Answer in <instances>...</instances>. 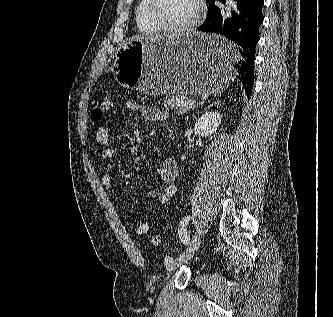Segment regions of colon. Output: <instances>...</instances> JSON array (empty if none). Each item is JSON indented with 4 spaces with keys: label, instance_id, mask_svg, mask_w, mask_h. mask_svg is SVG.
I'll use <instances>...</instances> for the list:
<instances>
[{
    "label": "colon",
    "instance_id": "5ec220e1",
    "mask_svg": "<svg viewBox=\"0 0 333 317\" xmlns=\"http://www.w3.org/2000/svg\"><path fill=\"white\" fill-rule=\"evenodd\" d=\"M111 108V100L107 96H102L94 101L91 118L94 122L101 121ZM151 242L154 246H158L161 243V237L159 235L152 236Z\"/></svg>",
    "mask_w": 333,
    "mask_h": 317
}]
</instances>
